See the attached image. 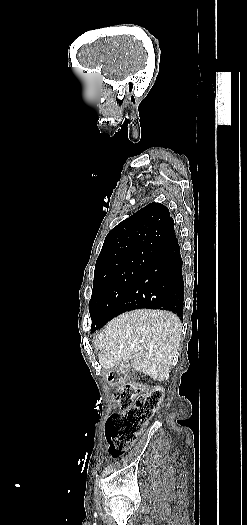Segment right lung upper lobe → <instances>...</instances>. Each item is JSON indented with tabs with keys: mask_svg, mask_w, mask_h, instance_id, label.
I'll use <instances>...</instances> for the list:
<instances>
[{
	"mask_svg": "<svg viewBox=\"0 0 247 525\" xmlns=\"http://www.w3.org/2000/svg\"><path fill=\"white\" fill-rule=\"evenodd\" d=\"M168 208L152 202L120 222L106 236L95 272L127 268L151 256L175 237Z\"/></svg>",
	"mask_w": 247,
	"mask_h": 525,
	"instance_id": "1",
	"label": "right lung upper lobe"
}]
</instances>
